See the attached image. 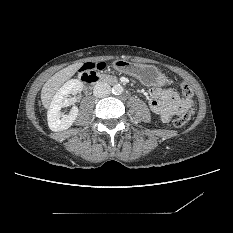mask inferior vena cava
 Masks as SVG:
<instances>
[{"label": "inferior vena cava", "instance_id": "inferior-vena-cava-1", "mask_svg": "<svg viewBox=\"0 0 233 233\" xmlns=\"http://www.w3.org/2000/svg\"><path fill=\"white\" fill-rule=\"evenodd\" d=\"M111 93V87L105 82H99L94 86L93 94L95 97L103 98Z\"/></svg>", "mask_w": 233, "mask_h": 233}]
</instances>
